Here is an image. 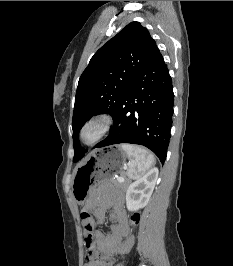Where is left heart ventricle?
Masks as SVG:
<instances>
[{"instance_id":"left-heart-ventricle-1","label":"left heart ventricle","mask_w":233,"mask_h":266,"mask_svg":"<svg viewBox=\"0 0 233 266\" xmlns=\"http://www.w3.org/2000/svg\"><path fill=\"white\" fill-rule=\"evenodd\" d=\"M95 131L93 129H90L86 132V137L87 138H92L94 135Z\"/></svg>"}]
</instances>
